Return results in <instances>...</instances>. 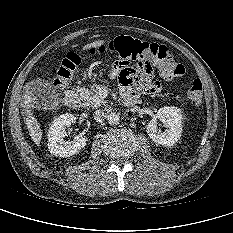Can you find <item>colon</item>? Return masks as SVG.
Segmentation results:
<instances>
[{"mask_svg": "<svg viewBox=\"0 0 233 233\" xmlns=\"http://www.w3.org/2000/svg\"><path fill=\"white\" fill-rule=\"evenodd\" d=\"M109 50L118 54L121 60L135 58L140 61H153L157 64L160 75L165 80H172L184 75L185 67L177 62L166 46L148 43L130 36H120L110 42L107 47L91 50L92 53ZM81 55L70 52L56 70L54 85L58 89H64L73 80L78 66L81 63ZM188 97L195 105H200L203 100V84L200 79L192 81L188 91Z\"/></svg>", "mask_w": 233, "mask_h": 233, "instance_id": "5ec220e1", "label": "colon"}]
</instances>
